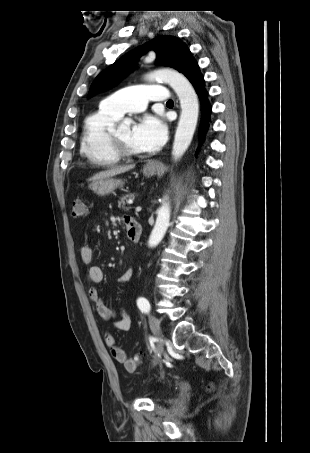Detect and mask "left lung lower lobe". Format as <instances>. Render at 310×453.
Here are the masks:
<instances>
[{"mask_svg":"<svg viewBox=\"0 0 310 453\" xmlns=\"http://www.w3.org/2000/svg\"><path fill=\"white\" fill-rule=\"evenodd\" d=\"M181 72L189 79L194 86L197 95L201 101V124L199 129L200 142L203 141L205 133L208 129L209 115L211 106L207 100V92L204 88V79L199 71V66L192 56L185 62ZM198 150H196V155Z\"/></svg>","mask_w":310,"mask_h":453,"instance_id":"obj_1","label":"left lung lower lobe"}]
</instances>
